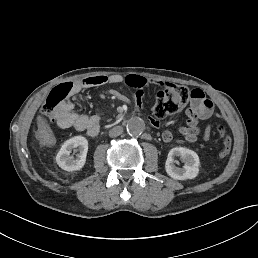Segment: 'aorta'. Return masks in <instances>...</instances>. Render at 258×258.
<instances>
[{
    "label": "aorta",
    "instance_id": "aorta-1",
    "mask_svg": "<svg viewBox=\"0 0 258 258\" xmlns=\"http://www.w3.org/2000/svg\"><path fill=\"white\" fill-rule=\"evenodd\" d=\"M126 129L130 135H140L145 130V122L140 117H132L127 121Z\"/></svg>",
    "mask_w": 258,
    "mask_h": 258
}]
</instances>
